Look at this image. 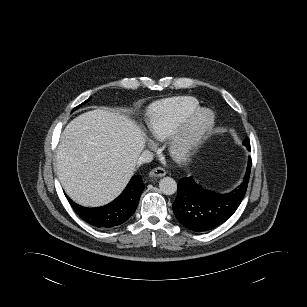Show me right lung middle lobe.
Instances as JSON below:
<instances>
[{"label": "right lung middle lobe", "mask_w": 307, "mask_h": 307, "mask_svg": "<svg viewBox=\"0 0 307 307\" xmlns=\"http://www.w3.org/2000/svg\"><path fill=\"white\" fill-rule=\"evenodd\" d=\"M90 99V98H89ZM89 99H87L85 102H87ZM84 102V103H85ZM84 103H82L81 105H83ZM81 105H79V106H81ZM79 106H77L75 109H77Z\"/></svg>", "instance_id": "right-lung-middle-lobe-1"}]
</instances>
